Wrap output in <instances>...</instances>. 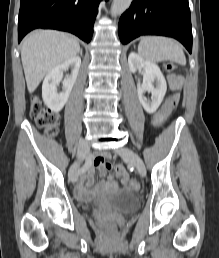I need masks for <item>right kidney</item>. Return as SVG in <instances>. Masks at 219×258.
<instances>
[{
  "mask_svg": "<svg viewBox=\"0 0 219 258\" xmlns=\"http://www.w3.org/2000/svg\"><path fill=\"white\" fill-rule=\"evenodd\" d=\"M81 66V58L74 56L62 64L53 68L45 77L42 85V98L48 108L54 112L62 110L66 104L72 87L77 79V75ZM71 68V75L63 81V72ZM62 81V92H57V85Z\"/></svg>",
  "mask_w": 219,
  "mask_h": 258,
  "instance_id": "right-kidney-1",
  "label": "right kidney"
}]
</instances>
